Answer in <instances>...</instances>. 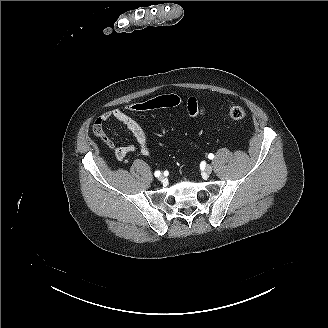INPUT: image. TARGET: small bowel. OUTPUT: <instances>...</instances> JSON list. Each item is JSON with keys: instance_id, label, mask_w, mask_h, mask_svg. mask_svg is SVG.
Wrapping results in <instances>:
<instances>
[{"instance_id": "1", "label": "small bowel", "mask_w": 328, "mask_h": 328, "mask_svg": "<svg viewBox=\"0 0 328 328\" xmlns=\"http://www.w3.org/2000/svg\"><path fill=\"white\" fill-rule=\"evenodd\" d=\"M205 114L204 108L198 103L196 98L190 97L186 102V121L194 120L202 117ZM101 122H106L111 119L118 120L126 126V128L133 134L139 144L141 154L147 155L149 153L148 137L142 126L132 117L128 116L120 109H113L104 112L99 118ZM185 123V122H182ZM136 147L134 145H125L117 147L114 150L115 157L118 161H123L128 154L134 152Z\"/></svg>"}]
</instances>
